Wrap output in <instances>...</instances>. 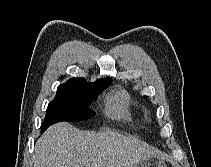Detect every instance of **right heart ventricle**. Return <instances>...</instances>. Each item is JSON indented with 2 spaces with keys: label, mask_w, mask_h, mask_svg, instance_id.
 <instances>
[{
  "label": "right heart ventricle",
  "mask_w": 211,
  "mask_h": 167,
  "mask_svg": "<svg viewBox=\"0 0 211 167\" xmlns=\"http://www.w3.org/2000/svg\"><path fill=\"white\" fill-rule=\"evenodd\" d=\"M131 100L124 92H117L107 97L106 113L114 118L129 119Z\"/></svg>",
  "instance_id": "e07e8e85"
}]
</instances>
